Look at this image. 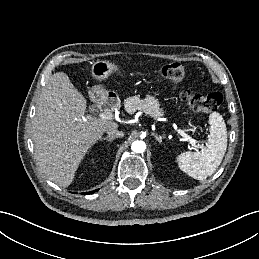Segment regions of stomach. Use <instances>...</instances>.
<instances>
[{"instance_id":"0dacf381","label":"stomach","mask_w":259,"mask_h":259,"mask_svg":"<svg viewBox=\"0 0 259 259\" xmlns=\"http://www.w3.org/2000/svg\"><path fill=\"white\" fill-rule=\"evenodd\" d=\"M120 68L112 62L98 60L91 67V75L94 79L102 81L106 80L112 73L118 72ZM103 89L100 85L92 88L91 95L102 94Z\"/></svg>"}]
</instances>
